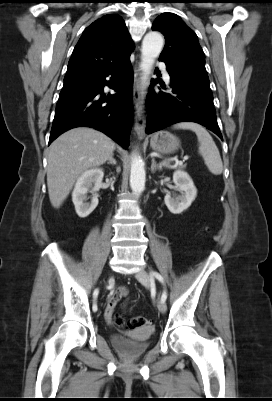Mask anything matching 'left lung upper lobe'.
<instances>
[{"instance_id": "5c2ea615", "label": "left lung upper lobe", "mask_w": 272, "mask_h": 401, "mask_svg": "<svg viewBox=\"0 0 272 401\" xmlns=\"http://www.w3.org/2000/svg\"><path fill=\"white\" fill-rule=\"evenodd\" d=\"M152 30L165 36V46L159 60L183 70L208 77L205 68V55L199 45L197 35L179 16L163 13L158 16Z\"/></svg>"}]
</instances>
